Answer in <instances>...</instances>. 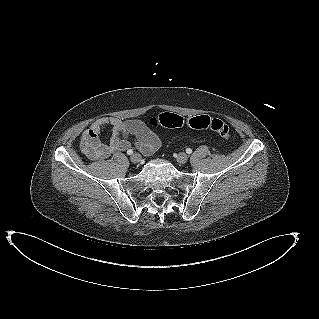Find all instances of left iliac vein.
<instances>
[{
  "mask_svg": "<svg viewBox=\"0 0 319 319\" xmlns=\"http://www.w3.org/2000/svg\"><path fill=\"white\" fill-rule=\"evenodd\" d=\"M188 160V155L184 152H181L178 154L177 156V162L181 163V164H185Z\"/></svg>",
  "mask_w": 319,
  "mask_h": 319,
  "instance_id": "obj_1",
  "label": "left iliac vein"
}]
</instances>
